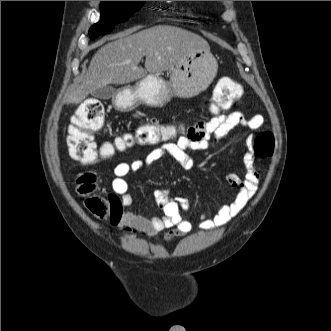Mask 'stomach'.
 <instances>
[{"label":"stomach","instance_id":"obj_1","mask_svg":"<svg viewBox=\"0 0 331 331\" xmlns=\"http://www.w3.org/2000/svg\"><path fill=\"white\" fill-rule=\"evenodd\" d=\"M217 69V61L209 46L197 48L174 66L169 81L149 74L135 86L119 91L115 107L120 111H131L139 104L162 107L174 96L194 97L206 90L216 76Z\"/></svg>","mask_w":331,"mask_h":331}]
</instances>
